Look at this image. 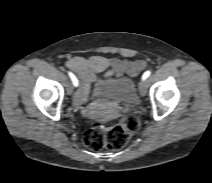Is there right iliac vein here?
Returning a JSON list of instances; mask_svg holds the SVG:
<instances>
[{
	"label": "right iliac vein",
	"mask_w": 212,
	"mask_h": 183,
	"mask_svg": "<svg viewBox=\"0 0 212 183\" xmlns=\"http://www.w3.org/2000/svg\"><path fill=\"white\" fill-rule=\"evenodd\" d=\"M72 91H73V87L70 85V86L68 87V93L71 94ZM77 94H78V92H76V93L74 94V96H76Z\"/></svg>",
	"instance_id": "63e3f726"
}]
</instances>
